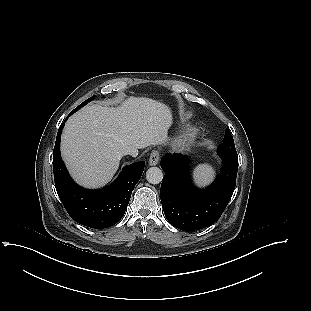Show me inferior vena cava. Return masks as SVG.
I'll return each mask as SVG.
<instances>
[{"mask_svg":"<svg viewBox=\"0 0 311 311\" xmlns=\"http://www.w3.org/2000/svg\"><path fill=\"white\" fill-rule=\"evenodd\" d=\"M125 152L128 156L133 157L136 155L137 149L134 146L129 145L126 147Z\"/></svg>","mask_w":311,"mask_h":311,"instance_id":"1","label":"inferior vena cava"}]
</instances>
